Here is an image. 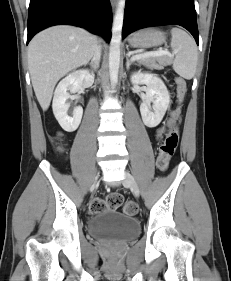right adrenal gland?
Returning <instances> with one entry per match:
<instances>
[{"instance_id":"right-adrenal-gland-1","label":"right adrenal gland","mask_w":231,"mask_h":281,"mask_svg":"<svg viewBox=\"0 0 231 281\" xmlns=\"http://www.w3.org/2000/svg\"><path fill=\"white\" fill-rule=\"evenodd\" d=\"M90 67L93 69V71H96L98 68V64L94 63L93 61H91L89 63Z\"/></svg>"}]
</instances>
